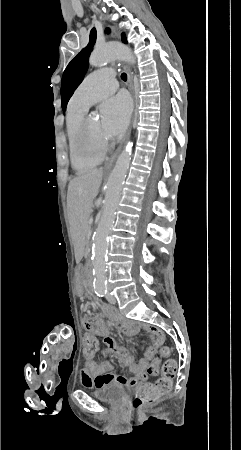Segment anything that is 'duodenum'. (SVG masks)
<instances>
[{"instance_id":"obj_1","label":"duodenum","mask_w":241,"mask_h":450,"mask_svg":"<svg viewBox=\"0 0 241 450\" xmlns=\"http://www.w3.org/2000/svg\"><path fill=\"white\" fill-rule=\"evenodd\" d=\"M86 269H87L86 285L89 290H93L94 277H93V264L91 260H88L86 264Z\"/></svg>"}]
</instances>
